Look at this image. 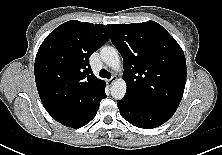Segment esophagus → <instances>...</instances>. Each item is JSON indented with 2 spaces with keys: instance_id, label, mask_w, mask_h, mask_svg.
I'll return each instance as SVG.
<instances>
[{
  "instance_id": "34e87169",
  "label": "esophagus",
  "mask_w": 222,
  "mask_h": 155,
  "mask_svg": "<svg viewBox=\"0 0 222 155\" xmlns=\"http://www.w3.org/2000/svg\"><path fill=\"white\" fill-rule=\"evenodd\" d=\"M117 80V77L115 76V75H113L112 77H111V79L109 80V82H114V81H116Z\"/></svg>"
}]
</instances>
